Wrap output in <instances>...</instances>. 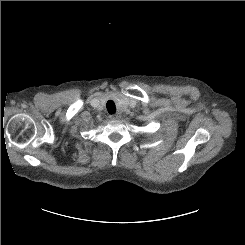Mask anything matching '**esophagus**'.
I'll use <instances>...</instances> for the list:
<instances>
[{"label":"esophagus","mask_w":245,"mask_h":245,"mask_svg":"<svg viewBox=\"0 0 245 245\" xmlns=\"http://www.w3.org/2000/svg\"><path fill=\"white\" fill-rule=\"evenodd\" d=\"M120 118H121V115L119 113H116V114L110 116V119H112V120H118Z\"/></svg>","instance_id":"esophagus-1"}]
</instances>
